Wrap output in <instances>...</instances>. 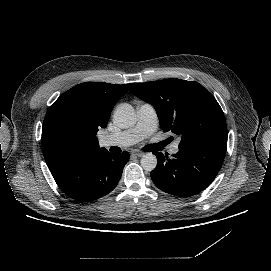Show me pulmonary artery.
<instances>
[{
  "label": "pulmonary artery",
  "instance_id": "obj_1",
  "mask_svg": "<svg viewBox=\"0 0 271 271\" xmlns=\"http://www.w3.org/2000/svg\"><path fill=\"white\" fill-rule=\"evenodd\" d=\"M158 127V117L153 105L141 103L137 107L136 123L119 133L107 134L99 138L100 147H127L134 145L152 135ZM179 140L170 146V153L177 154Z\"/></svg>",
  "mask_w": 271,
  "mask_h": 271
}]
</instances>
